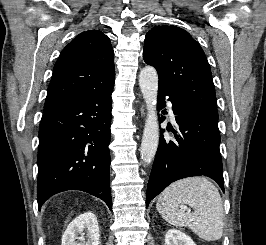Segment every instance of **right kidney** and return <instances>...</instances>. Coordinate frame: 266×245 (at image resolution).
Instances as JSON below:
<instances>
[{"label":"right kidney","mask_w":266,"mask_h":245,"mask_svg":"<svg viewBox=\"0 0 266 245\" xmlns=\"http://www.w3.org/2000/svg\"><path fill=\"white\" fill-rule=\"evenodd\" d=\"M72 225L74 229V245H99V227L97 217L94 213L90 211V213L78 215V217L72 221ZM79 241H81V243H79Z\"/></svg>","instance_id":"obj_1"}]
</instances>
